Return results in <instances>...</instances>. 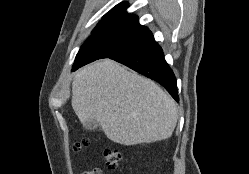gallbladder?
I'll return each mask as SVG.
<instances>
[{
    "label": "gallbladder",
    "mask_w": 249,
    "mask_h": 174,
    "mask_svg": "<svg viewBox=\"0 0 249 174\" xmlns=\"http://www.w3.org/2000/svg\"><path fill=\"white\" fill-rule=\"evenodd\" d=\"M83 127L86 129V130H89V131H94L96 130L98 127H99V124L96 120H87L83 123Z\"/></svg>",
    "instance_id": "1"
}]
</instances>
